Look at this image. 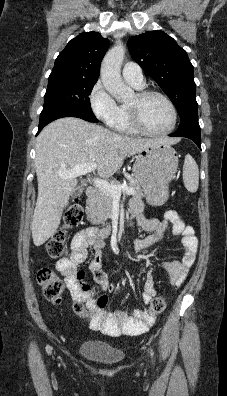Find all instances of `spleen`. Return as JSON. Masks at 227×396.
Returning <instances> with one entry per match:
<instances>
[{"label":"spleen","mask_w":227,"mask_h":396,"mask_svg":"<svg viewBox=\"0 0 227 396\" xmlns=\"http://www.w3.org/2000/svg\"><path fill=\"white\" fill-rule=\"evenodd\" d=\"M183 181L185 188L195 193L199 185V169L191 155H186L183 165Z\"/></svg>","instance_id":"spleen-1"}]
</instances>
